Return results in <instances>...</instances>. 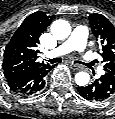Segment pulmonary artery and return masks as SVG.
<instances>
[{"label": "pulmonary artery", "instance_id": "obj_1", "mask_svg": "<svg viewBox=\"0 0 115 119\" xmlns=\"http://www.w3.org/2000/svg\"><path fill=\"white\" fill-rule=\"evenodd\" d=\"M88 29L77 26L70 37L54 50L55 55H64L71 51H78L85 62H91V54L87 46ZM103 73L102 70H100Z\"/></svg>", "mask_w": 115, "mask_h": 119}]
</instances>
